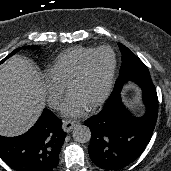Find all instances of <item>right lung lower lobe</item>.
I'll return each instance as SVG.
<instances>
[{
  "label": "right lung lower lobe",
  "instance_id": "obj_1",
  "mask_svg": "<svg viewBox=\"0 0 171 171\" xmlns=\"http://www.w3.org/2000/svg\"><path fill=\"white\" fill-rule=\"evenodd\" d=\"M61 125L58 117L44 109L25 134L0 136V157L16 171H53L58 166V155L66 136Z\"/></svg>",
  "mask_w": 171,
  "mask_h": 171
}]
</instances>
